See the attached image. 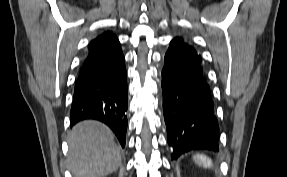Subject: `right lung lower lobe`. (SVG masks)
<instances>
[{"label": "right lung lower lobe", "instance_id": "98d812e1", "mask_svg": "<svg viewBox=\"0 0 287 177\" xmlns=\"http://www.w3.org/2000/svg\"><path fill=\"white\" fill-rule=\"evenodd\" d=\"M75 82L70 111L71 125L85 119L107 124L122 147L127 130V75L120 43L104 32L88 45Z\"/></svg>", "mask_w": 287, "mask_h": 177}]
</instances>
